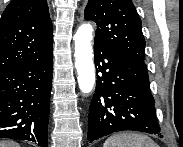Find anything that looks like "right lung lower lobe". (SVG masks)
Returning <instances> with one entry per match:
<instances>
[{"label": "right lung lower lobe", "mask_w": 183, "mask_h": 147, "mask_svg": "<svg viewBox=\"0 0 183 147\" xmlns=\"http://www.w3.org/2000/svg\"><path fill=\"white\" fill-rule=\"evenodd\" d=\"M52 51L0 72V139L47 147Z\"/></svg>", "instance_id": "98d812e1"}]
</instances>
